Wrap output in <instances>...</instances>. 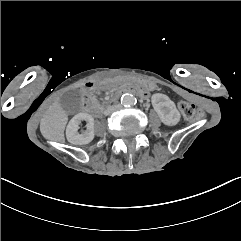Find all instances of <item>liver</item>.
<instances>
[{"instance_id":"liver-1","label":"liver","mask_w":241,"mask_h":241,"mask_svg":"<svg viewBox=\"0 0 241 241\" xmlns=\"http://www.w3.org/2000/svg\"><path fill=\"white\" fill-rule=\"evenodd\" d=\"M81 83L79 87L83 86ZM68 122V114L59 102L53 103L45 112L40 123L42 136L51 142L64 143V130Z\"/></svg>"}]
</instances>
